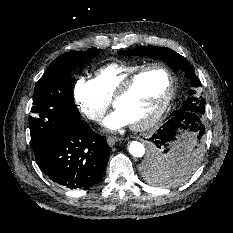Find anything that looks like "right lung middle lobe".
<instances>
[{"label": "right lung middle lobe", "mask_w": 233, "mask_h": 233, "mask_svg": "<svg viewBox=\"0 0 233 233\" xmlns=\"http://www.w3.org/2000/svg\"><path fill=\"white\" fill-rule=\"evenodd\" d=\"M102 49L73 51L55 59L34 91L30 116L31 142L39 162L62 122L79 120L72 94L71 67H81Z\"/></svg>", "instance_id": "1"}]
</instances>
